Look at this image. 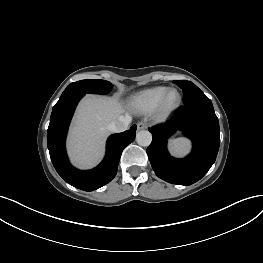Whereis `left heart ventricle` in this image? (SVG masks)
<instances>
[{"instance_id":"b2bd125f","label":"left heart ventricle","mask_w":263,"mask_h":263,"mask_svg":"<svg viewBox=\"0 0 263 263\" xmlns=\"http://www.w3.org/2000/svg\"><path fill=\"white\" fill-rule=\"evenodd\" d=\"M177 100V95L175 93H173L170 98H169V102L170 103H174Z\"/></svg>"}]
</instances>
